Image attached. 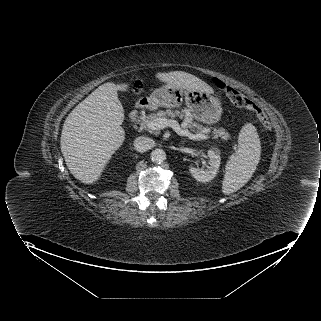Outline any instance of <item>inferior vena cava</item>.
I'll return each instance as SVG.
<instances>
[{"instance_id":"inferior-vena-cava-1","label":"inferior vena cava","mask_w":321,"mask_h":321,"mask_svg":"<svg viewBox=\"0 0 321 321\" xmlns=\"http://www.w3.org/2000/svg\"><path fill=\"white\" fill-rule=\"evenodd\" d=\"M155 142L149 137L140 136L134 140V148L138 152H145L154 146Z\"/></svg>"}]
</instances>
